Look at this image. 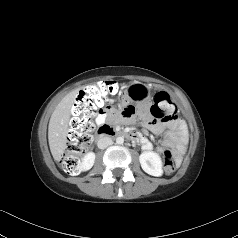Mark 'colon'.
<instances>
[{
  "mask_svg": "<svg viewBox=\"0 0 238 238\" xmlns=\"http://www.w3.org/2000/svg\"><path fill=\"white\" fill-rule=\"evenodd\" d=\"M118 89V85L113 81H100L78 93L72 108L73 117L66 149L61 159V166L66 173L71 175L78 173L81 157L90 145L95 130L92 118L101 111L109 97L115 95ZM134 112L133 106H127L123 110V115L130 117ZM150 114L158 120H174L177 117V108L168 94L158 92L154 96ZM163 161L166 172L171 173L175 170L176 160L171 150L164 152Z\"/></svg>",
  "mask_w": 238,
  "mask_h": 238,
  "instance_id": "obj_1",
  "label": "colon"
}]
</instances>
